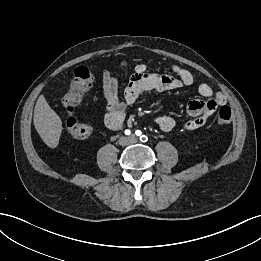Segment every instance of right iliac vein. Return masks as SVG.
Wrapping results in <instances>:
<instances>
[{
  "label": "right iliac vein",
  "mask_w": 261,
  "mask_h": 261,
  "mask_svg": "<svg viewBox=\"0 0 261 261\" xmlns=\"http://www.w3.org/2000/svg\"><path fill=\"white\" fill-rule=\"evenodd\" d=\"M126 141H127L126 138H122V139H121V142H122V143H125Z\"/></svg>",
  "instance_id": "obj_1"
}]
</instances>
